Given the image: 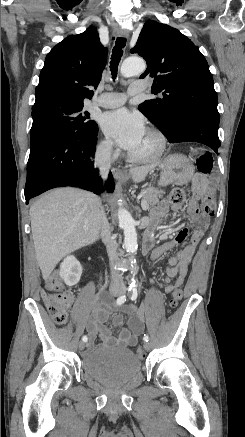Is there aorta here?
<instances>
[{"mask_svg":"<svg viewBox=\"0 0 245 437\" xmlns=\"http://www.w3.org/2000/svg\"><path fill=\"white\" fill-rule=\"evenodd\" d=\"M146 69V63L139 57H131L126 59L121 66V74L124 77H131L141 74ZM119 226L124 232V247L127 252L135 253L137 251V232L135 221L131 214L125 208L118 209ZM133 263V258H131Z\"/></svg>","mask_w":245,"mask_h":437,"instance_id":"aorta-1","label":"aorta"}]
</instances>
